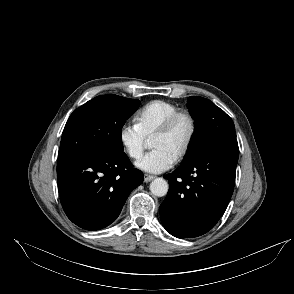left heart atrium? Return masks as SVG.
<instances>
[{
	"label": "left heart atrium",
	"mask_w": 294,
	"mask_h": 294,
	"mask_svg": "<svg viewBox=\"0 0 294 294\" xmlns=\"http://www.w3.org/2000/svg\"><path fill=\"white\" fill-rule=\"evenodd\" d=\"M176 161V156L163 148H154L136 162V166L149 173H161L170 169Z\"/></svg>",
	"instance_id": "1"
}]
</instances>
